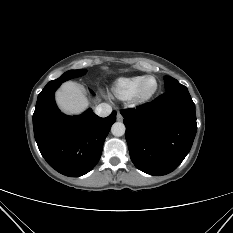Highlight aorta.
Segmentation results:
<instances>
[{"label": "aorta", "instance_id": "762f6f07", "mask_svg": "<svg viewBox=\"0 0 233 233\" xmlns=\"http://www.w3.org/2000/svg\"><path fill=\"white\" fill-rule=\"evenodd\" d=\"M125 125L122 122H116L111 127V132L114 136L120 137L125 134Z\"/></svg>", "mask_w": 233, "mask_h": 233}]
</instances>
